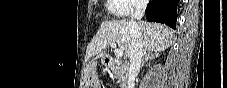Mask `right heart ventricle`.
Masks as SVG:
<instances>
[{
	"label": "right heart ventricle",
	"instance_id": "e07e8e85",
	"mask_svg": "<svg viewBox=\"0 0 227 88\" xmlns=\"http://www.w3.org/2000/svg\"><path fill=\"white\" fill-rule=\"evenodd\" d=\"M107 9L116 17H123L126 14V5L123 0H107Z\"/></svg>",
	"mask_w": 227,
	"mask_h": 88
}]
</instances>
